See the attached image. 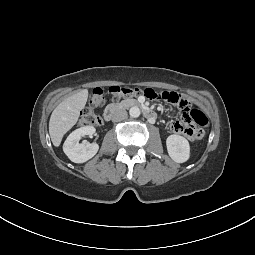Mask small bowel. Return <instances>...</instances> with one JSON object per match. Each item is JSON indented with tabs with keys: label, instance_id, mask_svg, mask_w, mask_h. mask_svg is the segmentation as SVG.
Masks as SVG:
<instances>
[{
	"label": "small bowel",
	"instance_id": "obj_1",
	"mask_svg": "<svg viewBox=\"0 0 255 255\" xmlns=\"http://www.w3.org/2000/svg\"><path fill=\"white\" fill-rule=\"evenodd\" d=\"M171 93H173L174 95H175V93L174 92H171ZM181 96V95H180ZM179 107H180V109L183 111V109H184V106H180V101L178 102V103H176ZM187 105H190V104H187ZM183 123H181V122H179V121H175V122H172L171 124H170V128H171V130L173 131V132H177V133H180L181 132V128L183 127Z\"/></svg>",
	"mask_w": 255,
	"mask_h": 255
}]
</instances>
